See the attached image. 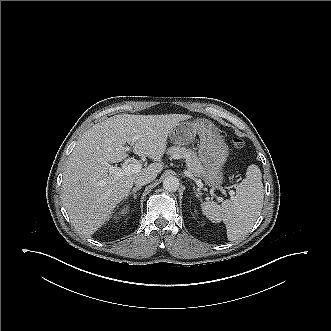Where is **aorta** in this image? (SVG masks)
Listing matches in <instances>:
<instances>
[{
    "label": "aorta",
    "instance_id": "1",
    "mask_svg": "<svg viewBox=\"0 0 331 331\" xmlns=\"http://www.w3.org/2000/svg\"><path fill=\"white\" fill-rule=\"evenodd\" d=\"M163 188L169 192H175L179 189V180L176 177L169 176L163 180Z\"/></svg>",
    "mask_w": 331,
    "mask_h": 331
}]
</instances>
